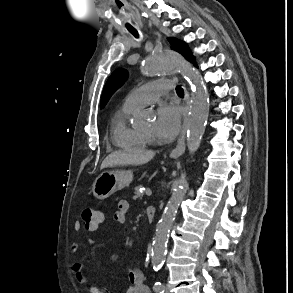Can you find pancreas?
I'll list each match as a JSON object with an SVG mask.
<instances>
[{
  "mask_svg": "<svg viewBox=\"0 0 293 293\" xmlns=\"http://www.w3.org/2000/svg\"><path fill=\"white\" fill-rule=\"evenodd\" d=\"M141 186H137V187H135V193H134V198L135 199H137V198H142L143 197V193H140L139 192V188H140Z\"/></svg>",
  "mask_w": 293,
  "mask_h": 293,
  "instance_id": "pancreas-1",
  "label": "pancreas"
}]
</instances>
